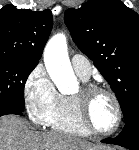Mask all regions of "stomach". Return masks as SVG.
Masks as SVG:
<instances>
[{
	"instance_id": "0dacf381",
	"label": "stomach",
	"mask_w": 139,
	"mask_h": 150,
	"mask_svg": "<svg viewBox=\"0 0 139 150\" xmlns=\"http://www.w3.org/2000/svg\"><path fill=\"white\" fill-rule=\"evenodd\" d=\"M97 150H113V149H109V148H102V147H100L99 149H97Z\"/></svg>"
}]
</instances>
